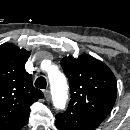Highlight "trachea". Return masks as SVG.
Here are the masks:
<instances>
[{
    "instance_id": "1",
    "label": "trachea",
    "mask_w": 130,
    "mask_h": 130,
    "mask_svg": "<svg viewBox=\"0 0 130 130\" xmlns=\"http://www.w3.org/2000/svg\"><path fill=\"white\" fill-rule=\"evenodd\" d=\"M35 86L40 89H45L47 86L46 79L44 77H39L35 81Z\"/></svg>"
}]
</instances>
